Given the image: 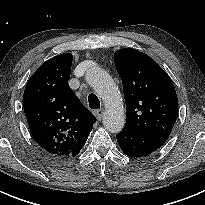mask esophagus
Instances as JSON below:
<instances>
[{
  "label": "esophagus",
  "mask_w": 205,
  "mask_h": 205,
  "mask_svg": "<svg viewBox=\"0 0 205 205\" xmlns=\"http://www.w3.org/2000/svg\"><path fill=\"white\" fill-rule=\"evenodd\" d=\"M103 114H104V109H98L97 111H96V118L98 119V120H101L102 119V117H103Z\"/></svg>",
  "instance_id": "34e87169"
}]
</instances>
